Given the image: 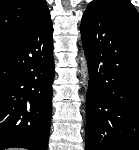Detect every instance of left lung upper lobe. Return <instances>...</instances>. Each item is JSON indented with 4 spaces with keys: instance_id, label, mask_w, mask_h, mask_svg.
Wrapping results in <instances>:
<instances>
[{
    "instance_id": "5c2ea615",
    "label": "left lung upper lobe",
    "mask_w": 139,
    "mask_h": 150,
    "mask_svg": "<svg viewBox=\"0 0 139 150\" xmlns=\"http://www.w3.org/2000/svg\"><path fill=\"white\" fill-rule=\"evenodd\" d=\"M104 1H111V0H93L89 5L93 4V3H97V2H104ZM113 1H118V0H113ZM129 2L128 0H124Z\"/></svg>"
}]
</instances>
